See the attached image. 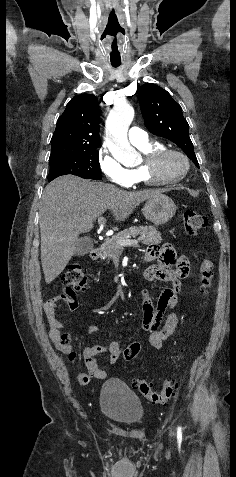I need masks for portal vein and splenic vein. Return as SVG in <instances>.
<instances>
[{"instance_id":"portal-vein-and-splenic-vein-1","label":"portal vein and splenic vein","mask_w":236,"mask_h":477,"mask_svg":"<svg viewBox=\"0 0 236 477\" xmlns=\"http://www.w3.org/2000/svg\"><path fill=\"white\" fill-rule=\"evenodd\" d=\"M104 223H105V219L103 217H99L98 218V224L100 226H104ZM118 245L121 246V247H124V246H137L138 245V240H129V239H126V240H118L117 241Z\"/></svg>"}]
</instances>
